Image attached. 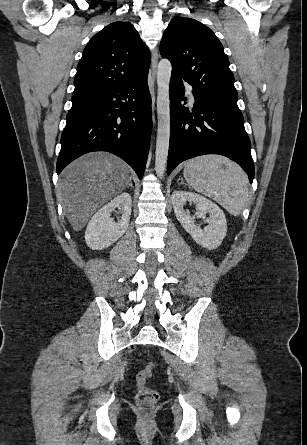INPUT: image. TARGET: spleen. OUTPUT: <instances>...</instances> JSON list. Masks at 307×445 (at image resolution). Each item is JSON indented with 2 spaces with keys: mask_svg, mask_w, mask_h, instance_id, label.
I'll return each mask as SVG.
<instances>
[{
  "mask_svg": "<svg viewBox=\"0 0 307 445\" xmlns=\"http://www.w3.org/2000/svg\"><path fill=\"white\" fill-rule=\"evenodd\" d=\"M184 178L197 192L213 198L238 216L249 200L248 178L243 168L220 154H203L184 164Z\"/></svg>",
  "mask_w": 307,
  "mask_h": 445,
  "instance_id": "obj_1",
  "label": "spleen"
}]
</instances>
